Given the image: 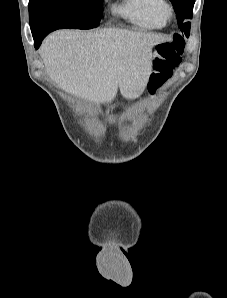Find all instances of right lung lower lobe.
I'll return each instance as SVG.
<instances>
[{
  "label": "right lung lower lobe",
  "instance_id": "obj_1",
  "mask_svg": "<svg viewBox=\"0 0 227 298\" xmlns=\"http://www.w3.org/2000/svg\"><path fill=\"white\" fill-rule=\"evenodd\" d=\"M50 32H51V31H46V32H43V33H35V34H33V38H34V41H35L34 46H35L36 49L40 46V44H41L43 38H44L48 33H50Z\"/></svg>",
  "mask_w": 227,
  "mask_h": 298
}]
</instances>
